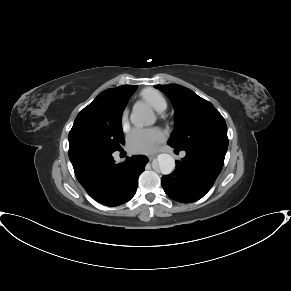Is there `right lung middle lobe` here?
Wrapping results in <instances>:
<instances>
[{
  "label": "right lung middle lobe",
  "instance_id": "dd1d6c3e",
  "mask_svg": "<svg viewBox=\"0 0 291 291\" xmlns=\"http://www.w3.org/2000/svg\"><path fill=\"white\" fill-rule=\"evenodd\" d=\"M136 87V86H135ZM132 94L109 93L98 95L77 115L69 132V150L98 149L107 152L120 150L125 143L121 126L122 112Z\"/></svg>",
  "mask_w": 291,
  "mask_h": 291
}]
</instances>
